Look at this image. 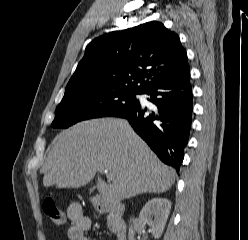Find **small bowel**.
Here are the masks:
<instances>
[{
    "instance_id": "obj_1",
    "label": "small bowel",
    "mask_w": 248,
    "mask_h": 240,
    "mask_svg": "<svg viewBox=\"0 0 248 240\" xmlns=\"http://www.w3.org/2000/svg\"><path fill=\"white\" fill-rule=\"evenodd\" d=\"M70 226L67 231L70 240H93L87 235L91 228V220L84 215L80 204L72 203L67 208Z\"/></svg>"
}]
</instances>
